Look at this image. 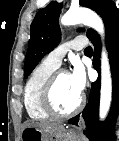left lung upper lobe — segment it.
Returning a JSON list of instances; mask_svg holds the SVG:
<instances>
[{
  "instance_id": "obj_1",
  "label": "left lung upper lobe",
  "mask_w": 119,
  "mask_h": 141,
  "mask_svg": "<svg viewBox=\"0 0 119 141\" xmlns=\"http://www.w3.org/2000/svg\"><path fill=\"white\" fill-rule=\"evenodd\" d=\"M80 5L96 11L105 22L116 10L112 0H80ZM62 4L51 2L39 10L31 24V38L24 64V77L27 78L39 61L60 42L61 31L58 24ZM83 31V30H82ZM94 30L87 31L91 37Z\"/></svg>"
}]
</instances>
